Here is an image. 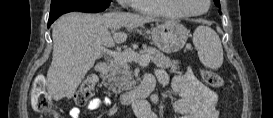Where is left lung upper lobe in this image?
<instances>
[{
  "label": "left lung upper lobe",
  "mask_w": 273,
  "mask_h": 118,
  "mask_svg": "<svg viewBox=\"0 0 273 118\" xmlns=\"http://www.w3.org/2000/svg\"><path fill=\"white\" fill-rule=\"evenodd\" d=\"M214 3H215V5H216L217 7H219V8L221 7V6H220L219 0H214Z\"/></svg>",
  "instance_id": "1"
}]
</instances>
